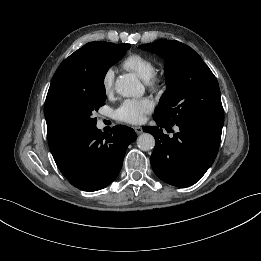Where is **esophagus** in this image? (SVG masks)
I'll use <instances>...</instances> for the list:
<instances>
[{"instance_id": "esophagus-1", "label": "esophagus", "mask_w": 261, "mask_h": 261, "mask_svg": "<svg viewBox=\"0 0 261 261\" xmlns=\"http://www.w3.org/2000/svg\"><path fill=\"white\" fill-rule=\"evenodd\" d=\"M134 130H135V132H136L137 134H141V133H143V128L140 127V126H136V127H134Z\"/></svg>"}]
</instances>
